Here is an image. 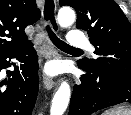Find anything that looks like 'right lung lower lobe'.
<instances>
[{
    "label": "right lung lower lobe",
    "instance_id": "98d812e1",
    "mask_svg": "<svg viewBox=\"0 0 131 115\" xmlns=\"http://www.w3.org/2000/svg\"><path fill=\"white\" fill-rule=\"evenodd\" d=\"M7 58L20 65L7 71L8 79L0 82V115H31L38 93V58L31 44L0 54V71L10 67Z\"/></svg>",
    "mask_w": 131,
    "mask_h": 115
}]
</instances>
